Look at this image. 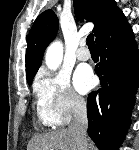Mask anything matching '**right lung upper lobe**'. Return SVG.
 <instances>
[{
  "label": "right lung upper lobe",
  "instance_id": "right-lung-upper-lobe-1",
  "mask_svg": "<svg viewBox=\"0 0 139 150\" xmlns=\"http://www.w3.org/2000/svg\"><path fill=\"white\" fill-rule=\"evenodd\" d=\"M75 14L80 19L94 23L97 38L120 12L114 0H74ZM58 18L53 10H46L35 20L27 41L26 75L28 83L39 69L43 53L58 31Z\"/></svg>",
  "mask_w": 139,
  "mask_h": 150
}]
</instances>
